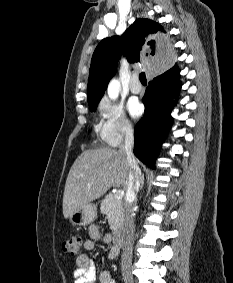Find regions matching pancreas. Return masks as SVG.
<instances>
[{"mask_svg": "<svg viewBox=\"0 0 233 283\" xmlns=\"http://www.w3.org/2000/svg\"><path fill=\"white\" fill-rule=\"evenodd\" d=\"M101 213L107 215L110 229L116 233L123 222V202L116 199L114 194L105 196L100 207Z\"/></svg>", "mask_w": 233, "mask_h": 283, "instance_id": "1", "label": "pancreas"}]
</instances>
